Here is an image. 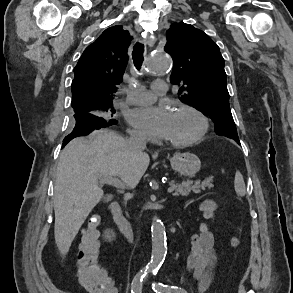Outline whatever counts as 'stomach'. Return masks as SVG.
<instances>
[{
  "instance_id": "obj_1",
  "label": "stomach",
  "mask_w": 293,
  "mask_h": 293,
  "mask_svg": "<svg viewBox=\"0 0 293 293\" xmlns=\"http://www.w3.org/2000/svg\"><path fill=\"white\" fill-rule=\"evenodd\" d=\"M171 167L183 177H194L201 168V161L193 153L176 154L170 159Z\"/></svg>"
}]
</instances>
